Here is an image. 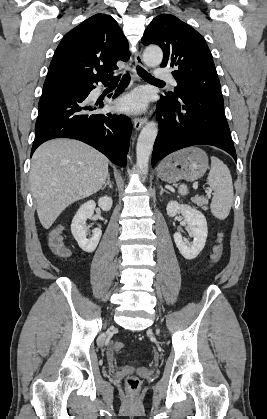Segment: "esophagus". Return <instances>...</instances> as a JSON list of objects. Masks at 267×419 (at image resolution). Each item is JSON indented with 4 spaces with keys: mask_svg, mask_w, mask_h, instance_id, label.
<instances>
[{
    "mask_svg": "<svg viewBox=\"0 0 267 419\" xmlns=\"http://www.w3.org/2000/svg\"><path fill=\"white\" fill-rule=\"evenodd\" d=\"M134 59H135V63H136L137 66H141V67L144 66L142 56H141V53L139 51H137L135 53ZM146 121H147L146 118H136V119H134V128L136 130H140L143 127V125L146 123Z\"/></svg>",
    "mask_w": 267,
    "mask_h": 419,
    "instance_id": "34e87169",
    "label": "esophagus"
}]
</instances>
